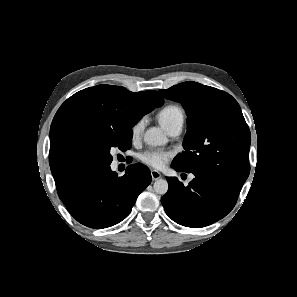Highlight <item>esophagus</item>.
<instances>
[{
  "instance_id": "1",
  "label": "esophagus",
  "mask_w": 297,
  "mask_h": 297,
  "mask_svg": "<svg viewBox=\"0 0 297 297\" xmlns=\"http://www.w3.org/2000/svg\"><path fill=\"white\" fill-rule=\"evenodd\" d=\"M151 176H152V179L155 181L161 178V173L158 172L157 170H151Z\"/></svg>"
}]
</instances>
